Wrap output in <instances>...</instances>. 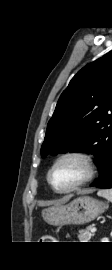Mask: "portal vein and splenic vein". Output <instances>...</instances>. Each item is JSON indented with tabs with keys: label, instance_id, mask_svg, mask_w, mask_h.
<instances>
[{
	"label": "portal vein and splenic vein",
	"instance_id": "1",
	"mask_svg": "<svg viewBox=\"0 0 112 270\" xmlns=\"http://www.w3.org/2000/svg\"><path fill=\"white\" fill-rule=\"evenodd\" d=\"M90 231L91 232H95L96 231V227L95 226H91Z\"/></svg>",
	"mask_w": 112,
	"mask_h": 270
}]
</instances>
